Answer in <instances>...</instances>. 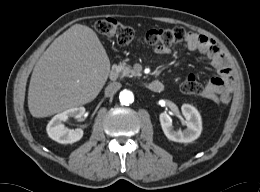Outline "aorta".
<instances>
[{
  "label": "aorta",
  "instance_id": "762f6f07",
  "mask_svg": "<svg viewBox=\"0 0 260 192\" xmlns=\"http://www.w3.org/2000/svg\"><path fill=\"white\" fill-rule=\"evenodd\" d=\"M119 100L121 104L128 106L134 102V95L131 91L125 89L120 92Z\"/></svg>",
  "mask_w": 260,
  "mask_h": 192
}]
</instances>
